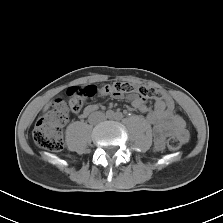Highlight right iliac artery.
Returning <instances> with one entry per match:
<instances>
[{
    "mask_svg": "<svg viewBox=\"0 0 223 223\" xmlns=\"http://www.w3.org/2000/svg\"><path fill=\"white\" fill-rule=\"evenodd\" d=\"M106 115H107V117L111 118L114 116V113H113V111H107Z\"/></svg>",
    "mask_w": 223,
    "mask_h": 223,
    "instance_id": "right-iliac-artery-1",
    "label": "right iliac artery"
}]
</instances>
